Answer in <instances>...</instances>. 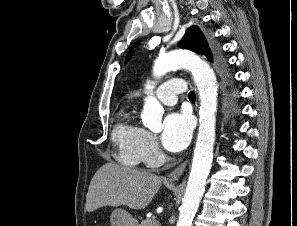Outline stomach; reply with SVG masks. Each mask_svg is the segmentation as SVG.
Listing matches in <instances>:
<instances>
[{
    "label": "stomach",
    "mask_w": 297,
    "mask_h": 226,
    "mask_svg": "<svg viewBox=\"0 0 297 226\" xmlns=\"http://www.w3.org/2000/svg\"><path fill=\"white\" fill-rule=\"evenodd\" d=\"M111 226H138L137 220L124 209H115L110 217Z\"/></svg>",
    "instance_id": "1"
}]
</instances>
